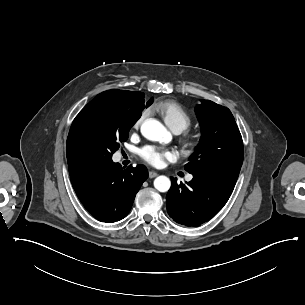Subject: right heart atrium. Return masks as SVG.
<instances>
[{
    "label": "right heart atrium",
    "instance_id": "d8ad5b80",
    "mask_svg": "<svg viewBox=\"0 0 305 305\" xmlns=\"http://www.w3.org/2000/svg\"><path fill=\"white\" fill-rule=\"evenodd\" d=\"M146 116V112H142L139 117L134 121L133 125H132V129L133 130H136L140 127V124L143 120V118Z\"/></svg>",
    "mask_w": 305,
    "mask_h": 305
}]
</instances>
